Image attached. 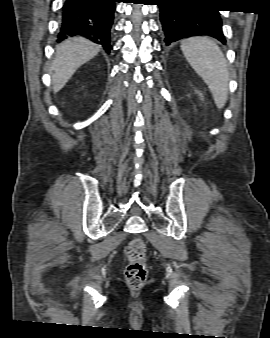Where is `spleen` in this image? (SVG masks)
I'll return each instance as SVG.
<instances>
[{"label":"spleen","mask_w":270,"mask_h":338,"mask_svg":"<svg viewBox=\"0 0 270 338\" xmlns=\"http://www.w3.org/2000/svg\"><path fill=\"white\" fill-rule=\"evenodd\" d=\"M181 50L209 87L216 106L221 109L228 98L229 72L220 47L208 37H191L181 42Z\"/></svg>","instance_id":"spleen-1"}]
</instances>
